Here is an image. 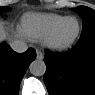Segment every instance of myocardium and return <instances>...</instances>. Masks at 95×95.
I'll list each match as a JSON object with an SVG mask.
<instances>
[{
	"instance_id": "obj_1",
	"label": "myocardium",
	"mask_w": 95,
	"mask_h": 95,
	"mask_svg": "<svg viewBox=\"0 0 95 95\" xmlns=\"http://www.w3.org/2000/svg\"><path fill=\"white\" fill-rule=\"evenodd\" d=\"M71 19H75L78 22L77 34L73 39L69 41L66 42L60 41L58 39V34L63 28L64 24ZM81 34H82V23L80 19L76 16H67L48 34V36L44 39V44L48 49L52 51L63 52L72 48L79 40Z\"/></svg>"
}]
</instances>
